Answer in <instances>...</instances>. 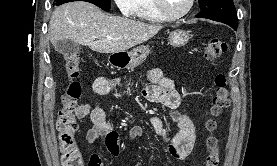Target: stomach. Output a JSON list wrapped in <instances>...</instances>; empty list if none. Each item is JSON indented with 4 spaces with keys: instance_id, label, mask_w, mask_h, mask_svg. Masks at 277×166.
Wrapping results in <instances>:
<instances>
[{
    "instance_id": "1",
    "label": "stomach",
    "mask_w": 277,
    "mask_h": 166,
    "mask_svg": "<svg viewBox=\"0 0 277 166\" xmlns=\"http://www.w3.org/2000/svg\"><path fill=\"white\" fill-rule=\"evenodd\" d=\"M190 38L188 32L184 30H175L169 34V43L172 46H183ZM150 53L149 46L141 45L130 51L113 53L109 57V63L117 68L132 69L141 65Z\"/></svg>"
}]
</instances>
